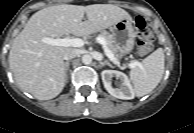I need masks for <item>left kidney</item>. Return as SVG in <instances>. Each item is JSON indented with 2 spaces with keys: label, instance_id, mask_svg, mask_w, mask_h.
<instances>
[{
  "label": "left kidney",
  "instance_id": "5707ae66",
  "mask_svg": "<svg viewBox=\"0 0 194 133\" xmlns=\"http://www.w3.org/2000/svg\"><path fill=\"white\" fill-rule=\"evenodd\" d=\"M101 76L105 89L112 96L124 100H130L134 98V90L128 77L124 73L116 70H104L102 71ZM113 77H116L120 80L118 88H114L112 86Z\"/></svg>",
  "mask_w": 194,
  "mask_h": 133
}]
</instances>
